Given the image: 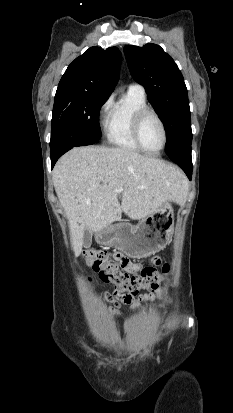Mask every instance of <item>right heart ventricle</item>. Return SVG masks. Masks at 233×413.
<instances>
[{
  "mask_svg": "<svg viewBox=\"0 0 233 413\" xmlns=\"http://www.w3.org/2000/svg\"><path fill=\"white\" fill-rule=\"evenodd\" d=\"M147 107L144 92L128 89L110 107L106 122L105 135L112 146L129 151H139L132 136V122L137 111Z\"/></svg>",
  "mask_w": 233,
  "mask_h": 413,
  "instance_id": "obj_1",
  "label": "right heart ventricle"
}]
</instances>
